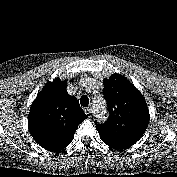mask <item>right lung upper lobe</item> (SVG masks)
Listing matches in <instances>:
<instances>
[{"instance_id": "cb5924a9", "label": "right lung upper lobe", "mask_w": 177, "mask_h": 177, "mask_svg": "<svg viewBox=\"0 0 177 177\" xmlns=\"http://www.w3.org/2000/svg\"><path fill=\"white\" fill-rule=\"evenodd\" d=\"M67 80L55 78L46 83L31 105L28 128L34 140L43 148L64 149L87 115L76 97L66 91Z\"/></svg>"}]
</instances>
